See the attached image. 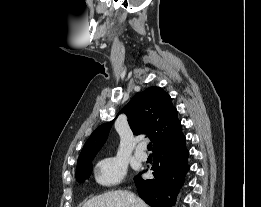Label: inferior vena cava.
Masks as SVG:
<instances>
[{"mask_svg":"<svg viewBox=\"0 0 261 207\" xmlns=\"http://www.w3.org/2000/svg\"><path fill=\"white\" fill-rule=\"evenodd\" d=\"M130 198H131V200L133 201V203H132V207H137V205H136L134 199H133L132 197H130Z\"/></svg>","mask_w":261,"mask_h":207,"instance_id":"inferior-vena-cava-1","label":"inferior vena cava"}]
</instances>
